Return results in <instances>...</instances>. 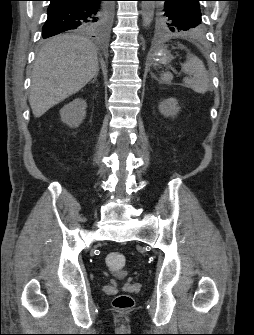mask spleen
I'll list each match as a JSON object with an SVG mask.
<instances>
[{
    "label": "spleen",
    "instance_id": "1",
    "mask_svg": "<svg viewBox=\"0 0 254 335\" xmlns=\"http://www.w3.org/2000/svg\"><path fill=\"white\" fill-rule=\"evenodd\" d=\"M181 70L190 76L183 79L186 86L199 94H204L208 91L210 87L208 72L204 63L198 57L188 54L186 62L181 66ZM172 79L173 75L169 72L161 75V80L165 83H170Z\"/></svg>",
    "mask_w": 254,
    "mask_h": 335
}]
</instances>
